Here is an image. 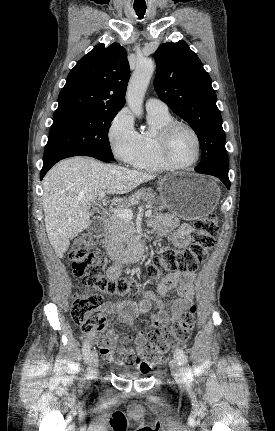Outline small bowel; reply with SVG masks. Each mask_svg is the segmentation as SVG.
<instances>
[{"instance_id":"1","label":"small bowel","mask_w":275,"mask_h":431,"mask_svg":"<svg viewBox=\"0 0 275 431\" xmlns=\"http://www.w3.org/2000/svg\"><path fill=\"white\" fill-rule=\"evenodd\" d=\"M152 227L159 237L171 235V240L176 248L183 249L189 245L193 228L189 223L179 224L173 217L163 220L154 218ZM121 267L112 265L107 272V277L115 280L121 275ZM194 272H175L163 278L157 286V294L147 293L140 302L116 299L104 306L108 315L106 327L101 332L89 336L92 343L100 347L104 359L113 364L135 365V356H141L146 345V330H140L135 335L120 337L115 330L117 321L131 326L134 320L142 314H150L148 329H164L177 322L181 315L191 306L195 294ZM174 291L177 296L169 301L165 297ZM157 314H151L154 308Z\"/></svg>"}]
</instances>
